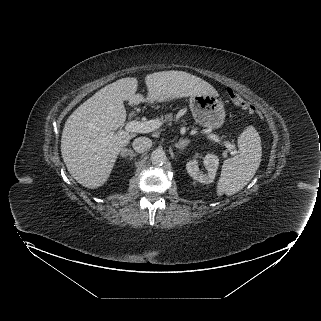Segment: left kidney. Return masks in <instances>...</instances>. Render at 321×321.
Returning a JSON list of instances; mask_svg holds the SVG:
<instances>
[{
    "mask_svg": "<svg viewBox=\"0 0 321 321\" xmlns=\"http://www.w3.org/2000/svg\"><path fill=\"white\" fill-rule=\"evenodd\" d=\"M203 164L207 173H203L199 169L197 160H190L186 164L188 174L200 183L210 184L214 181L219 166V158L214 154H207L203 159Z\"/></svg>",
    "mask_w": 321,
    "mask_h": 321,
    "instance_id": "obj_1",
    "label": "left kidney"
}]
</instances>
